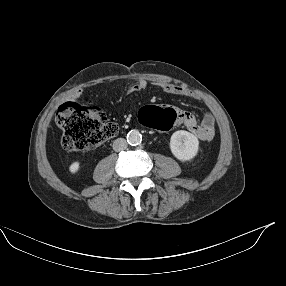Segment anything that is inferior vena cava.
<instances>
[{"instance_id":"obj_1","label":"inferior vena cava","mask_w":286,"mask_h":286,"mask_svg":"<svg viewBox=\"0 0 286 286\" xmlns=\"http://www.w3.org/2000/svg\"><path fill=\"white\" fill-rule=\"evenodd\" d=\"M127 148V142L124 138H118L113 142V149L116 152L125 150Z\"/></svg>"}]
</instances>
